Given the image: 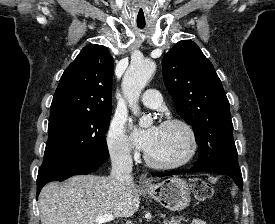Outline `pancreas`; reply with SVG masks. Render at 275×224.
<instances>
[{
  "mask_svg": "<svg viewBox=\"0 0 275 224\" xmlns=\"http://www.w3.org/2000/svg\"><path fill=\"white\" fill-rule=\"evenodd\" d=\"M182 221L186 220L182 217H171L168 220H164V224H181Z\"/></svg>",
  "mask_w": 275,
  "mask_h": 224,
  "instance_id": "obj_1",
  "label": "pancreas"
}]
</instances>
